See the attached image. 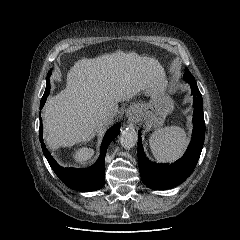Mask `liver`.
I'll return each instance as SVG.
<instances>
[{"instance_id": "6515ba94", "label": "liver", "mask_w": 240, "mask_h": 240, "mask_svg": "<svg viewBox=\"0 0 240 240\" xmlns=\"http://www.w3.org/2000/svg\"><path fill=\"white\" fill-rule=\"evenodd\" d=\"M164 81L158 60L135 52L117 51L78 60L67 74L66 88L51 97L43 109L47 144L57 149L91 140L112 121L118 102ZM101 110L112 115L103 126L97 123Z\"/></svg>"}]
</instances>
